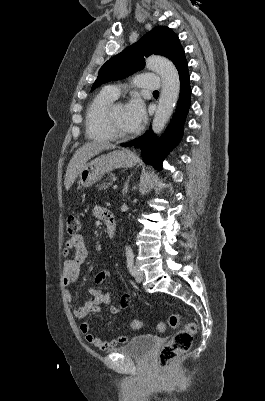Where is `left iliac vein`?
Returning <instances> with one entry per match:
<instances>
[{"instance_id": "left-iliac-vein-1", "label": "left iliac vein", "mask_w": 265, "mask_h": 401, "mask_svg": "<svg viewBox=\"0 0 265 401\" xmlns=\"http://www.w3.org/2000/svg\"><path fill=\"white\" fill-rule=\"evenodd\" d=\"M136 281L140 283L143 280V273L139 270L136 271Z\"/></svg>"}]
</instances>
